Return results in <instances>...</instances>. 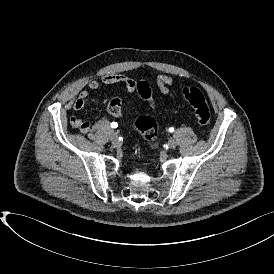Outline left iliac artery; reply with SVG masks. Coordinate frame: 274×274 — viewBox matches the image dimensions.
Listing matches in <instances>:
<instances>
[{
  "label": "left iliac artery",
  "mask_w": 274,
  "mask_h": 274,
  "mask_svg": "<svg viewBox=\"0 0 274 274\" xmlns=\"http://www.w3.org/2000/svg\"><path fill=\"white\" fill-rule=\"evenodd\" d=\"M169 132H171V133L174 132V128H173V127H170V128H169Z\"/></svg>",
  "instance_id": "obj_1"
}]
</instances>
